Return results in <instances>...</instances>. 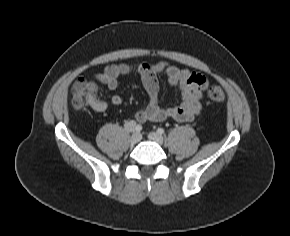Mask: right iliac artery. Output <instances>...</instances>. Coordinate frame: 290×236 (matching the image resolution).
I'll return each instance as SVG.
<instances>
[{
  "label": "right iliac artery",
  "mask_w": 290,
  "mask_h": 236,
  "mask_svg": "<svg viewBox=\"0 0 290 236\" xmlns=\"http://www.w3.org/2000/svg\"><path fill=\"white\" fill-rule=\"evenodd\" d=\"M135 130L137 132H140L142 130V126L141 125H137L136 128H135Z\"/></svg>",
  "instance_id": "1"
}]
</instances>
